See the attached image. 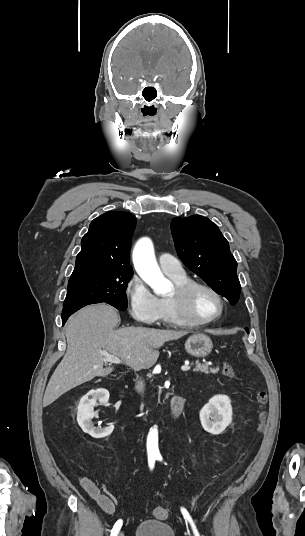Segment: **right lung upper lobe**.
Returning <instances> with one entry per match:
<instances>
[{
	"label": "right lung upper lobe",
	"mask_w": 305,
	"mask_h": 536,
	"mask_svg": "<svg viewBox=\"0 0 305 536\" xmlns=\"http://www.w3.org/2000/svg\"><path fill=\"white\" fill-rule=\"evenodd\" d=\"M135 225V216L123 211H111L95 218L82 238V249L71 277L94 273H133L129 265V251Z\"/></svg>",
	"instance_id": "right-lung-upper-lobe-1"
}]
</instances>
